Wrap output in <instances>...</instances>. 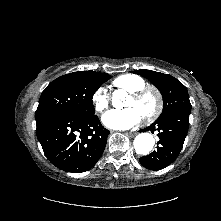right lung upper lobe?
<instances>
[{
    "label": "right lung upper lobe",
    "instance_id": "obj_1",
    "mask_svg": "<svg viewBox=\"0 0 221 221\" xmlns=\"http://www.w3.org/2000/svg\"><path fill=\"white\" fill-rule=\"evenodd\" d=\"M83 73H89V74H92V73H97V72H93V71H82Z\"/></svg>",
    "mask_w": 221,
    "mask_h": 221
}]
</instances>
